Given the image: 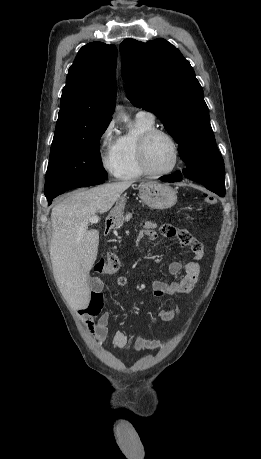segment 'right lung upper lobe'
Here are the masks:
<instances>
[{"instance_id":"cb5924a9","label":"right lung upper lobe","mask_w":261,"mask_h":459,"mask_svg":"<svg viewBox=\"0 0 261 459\" xmlns=\"http://www.w3.org/2000/svg\"><path fill=\"white\" fill-rule=\"evenodd\" d=\"M117 48L102 42L83 46L68 70L54 138L110 122L116 101Z\"/></svg>"}]
</instances>
